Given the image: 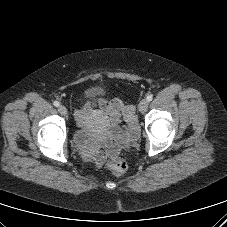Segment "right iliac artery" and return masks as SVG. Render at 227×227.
I'll use <instances>...</instances> for the list:
<instances>
[{
  "instance_id": "obj_1",
  "label": "right iliac artery",
  "mask_w": 227,
  "mask_h": 227,
  "mask_svg": "<svg viewBox=\"0 0 227 227\" xmlns=\"http://www.w3.org/2000/svg\"><path fill=\"white\" fill-rule=\"evenodd\" d=\"M54 106L58 107L60 105V103L58 101H55L54 103Z\"/></svg>"
}]
</instances>
